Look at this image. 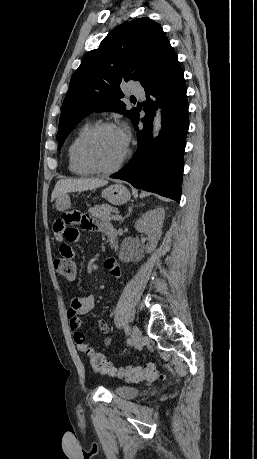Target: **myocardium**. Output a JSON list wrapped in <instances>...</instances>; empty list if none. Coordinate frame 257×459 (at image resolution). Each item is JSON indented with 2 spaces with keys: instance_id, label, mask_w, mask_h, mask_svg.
Here are the masks:
<instances>
[{
  "instance_id": "obj_1",
  "label": "myocardium",
  "mask_w": 257,
  "mask_h": 459,
  "mask_svg": "<svg viewBox=\"0 0 257 459\" xmlns=\"http://www.w3.org/2000/svg\"><path fill=\"white\" fill-rule=\"evenodd\" d=\"M106 129H118V126L112 122H102L93 125L81 138L78 148H77V155L80 163L86 167L87 169L91 170L92 172L98 173H112L117 171L126 161L128 158L130 151L126 148L122 157L112 166L104 167L100 166L95 163L88 155V146L91 141L102 131Z\"/></svg>"
}]
</instances>
